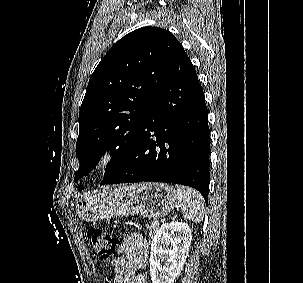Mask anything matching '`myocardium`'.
Returning <instances> with one entry per match:
<instances>
[{"label": "myocardium", "instance_id": "f54148a6", "mask_svg": "<svg viewBox=\"0 0 303 283\" xmlns=\"http://www.w3.org/2000/svg\"><path fill=\"white\" fill-rule=\"evenodd\" d=\"M116 157V151L112 147L105 148L97 159V165L101 168H105L113 163Z\"/></svg>", "mask_w": 303, "mask_h": 283}]
</instances>
